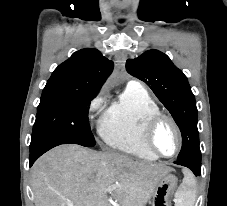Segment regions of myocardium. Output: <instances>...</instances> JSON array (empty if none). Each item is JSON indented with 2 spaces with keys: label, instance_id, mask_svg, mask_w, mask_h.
<instances>
[{
  "label": "myocardium",
  "instance_id": "f54148a6",
  "mask_svg": "<svg viewBox=\"0 0 227 206\" xmlns=\"http://www.w3.org/2000/svg\"><path fill=\"white\" fill-rule=\"evenodd\" d=\"M164 121L168 122L173 127L177 137V147L175 152L171 155H164L161 152H159L155 147L153 141V136L157 127L160 125V123ZM143 142L146 148L155 156L159 158H173L180 152L182 148V133L177 122L173 119V117L159 111L149 116L148 119L145 121L143 127Z\"/></svg>",
  "mask_w": 227,
  "mask_h": 206
}]
</instances>
